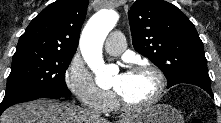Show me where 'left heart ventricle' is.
Segmentation results:
<instances>
[{
    "label": "left heart ventricle",
    "mask_w": 221,
    "mask_h": 123,
    "mask_svg": "<svg viewBox=\"0 0 221 123\" xmlns=\"http://www.w3.org/2000/svg\"><path fill=\"white\" fill-rule=\"evenodd\" d=\"M112 87L131 103H143L150 100L156 92L157 81L148 71H134L117 74Z\"/></svg>",
    "instance_id": "b2bd125f"
}]
</instances>
